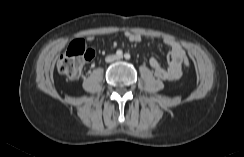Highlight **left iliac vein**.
Wrapping results in <instances>:
<instances>
[{
	"instance_id": "left-iliac-vein-1",
	"label": "left iliac vein",
	"mask_w": 244,
	"mask_h": 157,
	"mask_svg": "<svg viewBox=\"0 0 244 157\" xmlns=\"http://www.w3.org/2000/svg\"><path fill=\"white\" fill-rule=\"evenodd\" d=\"M122 59V57H116V60H121Z\"/></svg>"
}]
</instances>
